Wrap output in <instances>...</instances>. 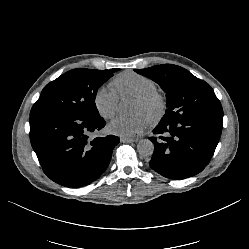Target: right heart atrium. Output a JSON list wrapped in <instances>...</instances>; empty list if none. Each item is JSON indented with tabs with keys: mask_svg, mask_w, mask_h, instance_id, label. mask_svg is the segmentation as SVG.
<instances>
[{
	"mask_svg": "<svg viewBox=\"0 0 249 249\" xmlns=\"http://www.w3.org/2000/svg\"><path fill=\"white\" fill-rule=\"evenodd\" d=\"M93 105L100 117L108 119L117 111L118 95L114 90L102 85L94 92Z\"/></svg>",
	"mask_w": 249,
	"mask_h": 249,
	"instance_id": "1",
	"label": "right heart atrium"
}]
</instances>
